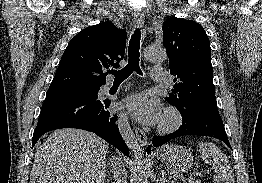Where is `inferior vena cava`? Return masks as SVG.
<instances>
[{"label": "inferior vena cava", "mask_w": 262, "mask_h": 183, "mask_svg": "<svg viewBox=\"0 0 262 183\" xmlns=\"http://www.w3.org/2000/svg\"><path fill=\"white\" fill-rule=\"evenodd\" d=\"M111 169L116 183H127V173L121 159L112 157Z\"/></svg>", "instance_id": "obj_1"}]
</instances>
